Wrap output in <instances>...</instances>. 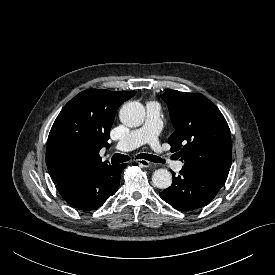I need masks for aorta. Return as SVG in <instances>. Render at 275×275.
<instances>
[{
	"instance_id": "obj_1",
	"label": "aorta",
	"mask_w": 275,
	"mask_h": 275,
	"mask_svg": "<svg viewBox=\"0 0 275 275\" xmlns=\"http://www.w3.org/2000/svg\"><path fill=\"white\" fill-rule=\"evenodd\" d=\"M121 122L128 127H138L145 119V108L137 101H131L122 106L119 114ZM152 183L159 189L171 186L172 175L167 169H158L152 175Z\"/></svg>"
}]
</instances>
